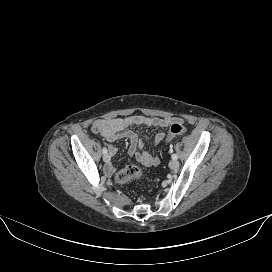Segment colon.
<instances>
[{
    "mask_svg": "<svg viewBox=\"0 0 272 272\" xmlns=\"http://www.w3.org/2000/svg\"><path fill=\"white\" fill-rule=\"evenodd\" d=\"M186 132L184 126L180 123L173 124L168 132L166 140L169 141L177 136L183 135ZM143 175V171L136 165H129L120 170L116 176L115 181L118 184H125L134 179H140Z\"/></svg>",
    "mask_w": 272,
    "mask_h": 272,
    "instance_id": "obj_1",
    "label": "colon"
}]
</instances>
